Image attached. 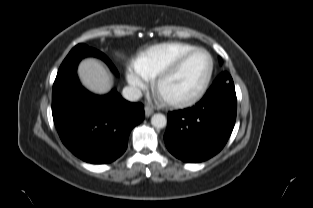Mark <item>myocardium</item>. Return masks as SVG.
Returning <instances> with one entry per match:
<instances>
[{"instance_id": "myocardium-1", "label": "myocardium", "mask_w": 313, "mask_h": 208, "mask_svg": "<svg viewBox=\"0 0 313 208\" xmlns=\"http://www.w3.org/2000/svg\"><path fill=\"white\" fill-rule=\"evenodd\" d=\"M196 53H204L209 61V68L206 74V77L204 81L202 82L199 89L191 96L185 97V98H167L162 95V87L163 85L171 79L173 76H175L184 63L194 54ZM214 71V61L212 56L209 54V52L203 48H195L189 52H186L182 54L180 57L177 58V60L166 70H164L162 73H160L154 83V90L155 93L168 105L173 107H187L190 105H193L194 103L198 102L206 93Z\"/></svg>"}]
</instances>
